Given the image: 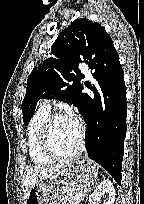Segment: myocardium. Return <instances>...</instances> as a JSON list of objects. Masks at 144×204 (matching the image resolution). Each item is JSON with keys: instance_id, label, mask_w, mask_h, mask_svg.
Instances as JSON below:
<instances>
[{"instance_id": "f54148a6", "label": "myocardium", "mask_w": 144, "mask_h": 204, "mask_svg": "<svg viewBox=\"0 0 144 204\" xmlns=\"http://www.w3.org/2000/svg\"><path fill=\"white\" fill-rule=\"evenodd\" d=\"M63 117H70L69 114L63 113V112H57L50 114V116L47 118L46 123L44 125L43 131H42V148L43 151L53 160H69L77 157L84 148V141H85V129L82 124V122L78 119L79 122V140L76 149L69 153V154H60L58 153L53 145H52V129L54 126V123Z\"/></svg>"}]
</instances>
